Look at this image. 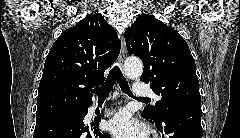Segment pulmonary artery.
<instances>
[{
    "instance_id": "obj_1",
    "label": "pulmonary artery",
    "mask_w": 240,
    "mask_h": 138,
    "mask_svg": "<svg viewBox=\"0 0 240 138\" xmlns=\"http://www.w3.org/2000/svg\"><path fill=\"white\" fill-rule=\"evenodd\" d=\"M133 93L135 97L145 98L146 96L152 95L155 100H158L159 97L153 95L150 88L141 82H136L133 88Z\"/></svg>"
}]
</instances>
